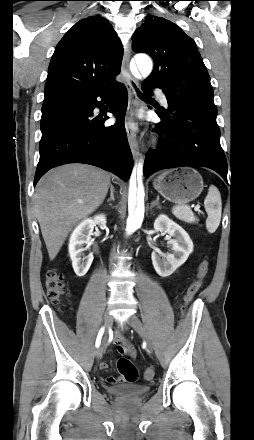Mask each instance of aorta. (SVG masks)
Returning a JSON list of instances; mask_svg holds the SVG:
<instances>
[{"mask_svg": "<svg viewBox=\"0 0 254 440\" xmlns=\"http://www.w3.org/2000/svg\"><path fill=\"white\" fill-rule=\"evenodd\" d=\"M135 62L140 74L148 77L153 69L152 60L145 54L135 56ZM144 186H143V163L138 164L131 175L129 196H128V218L126 224L127 235L132 234L140 228L144 219Z\"/></svg>", "mask_w": 254, "mask_h": 440, "instance_id": "obj_1", "label": "aorta"}]
</instances>
